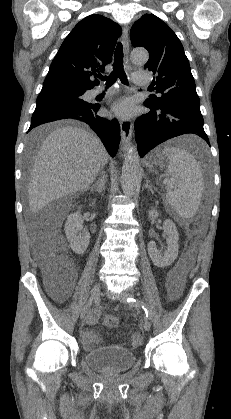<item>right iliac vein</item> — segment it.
<instances>
[{"mask_svg":"<svg viewBox=\"0 0 231 419\" xmlns=\"http://www.w3.org/2000/svg\"><path fill=\"white\" fill-rule=\"evenodd\" d=\"M100 290H101L100 283H97V284H95L93 286V288L91 290V294H90V300H89V302L85 305V307L80 312V318L81 319H83L87 315V313L89 311V308H90V306L92 304V300L93 299H96L98 297V295L100 293Z\"/></svg>","mask_w":231,"mask_h":419,"instance_id":"obj_1","label":"right iliac vein"}]
</instances>
